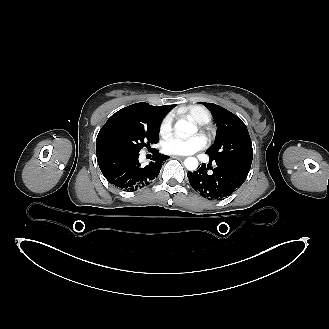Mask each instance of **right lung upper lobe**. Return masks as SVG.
<instances>
[{"mask_svg": "<svg viewBox=\"0 0 329 329\" xmlns=\"http://www.w3.org/2000/svg\"><path fill=\"white\" fill-rule=\"evenodd\" d=\"M174 107L175 105L152 106L148 103L140 102L117 111L101 128L96 139V152L106 149L102 144V136L110 128L119 125H145L156 116L166 115Z\"/></svg>", "mask_w": 329, "mask_h": 329, "instance_id": "1", "label": "right lung upper lobe"}]
</instances>
